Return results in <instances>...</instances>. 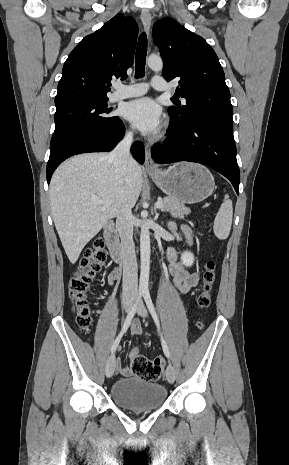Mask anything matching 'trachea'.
<instances>
[{"label":"trachea","instance_id":"obj_1","mask_svg":"<svg viewBox=\"0 0 289 465\" xmlns=\"http://www.w3.org/2000/svg\"><path fill=\"white\" fill-rule=\"evenodd\" d=\"M147 56V36L145 33H142L139 36L136 56H135V66H136V78H142L145 74V62Z\"/></svg>","mask_w":289,"mask_h":465}]
</instances>
